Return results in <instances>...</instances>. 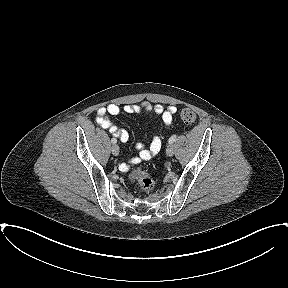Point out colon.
<instances>
[{
  "instance_id": "1",
  "label": "colon",
  "mask_w": 288,
  "mask_h": 288,
  "mask_svg": "<svg viewBox=\"0 0 288 288\" xmlns=\"http://www.w3.org/2000/svg\"><path fill=\"white\" fill-rule=\"evenodd\" d=\"M180 119L185 124H193L196 121V114L191 109L185 108L180 111ZM129 177L136 181L140 188L145 192L151 191L154 187V181L143 169L139 167L134 168Z\"/></svg>"
}]
</instances>
